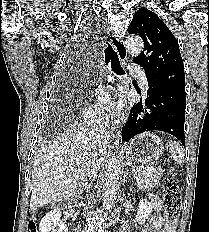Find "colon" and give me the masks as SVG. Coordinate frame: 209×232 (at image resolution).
<instances>
[{"mask_svg": "<svg viewBox=\"0 0 209 232\" xmlns=\"http://www.w3.org/2000/svg\"><path fill=\"white\" fill-rule=\"evenodd\" d=\"M164 218L175 221L181 209V193L176 181L170 176L163 185ZM26 232H38L36 222L31 220Z\"/></svg>", "mask_w": 209, "mask_h": 232, "instance_id": "1", "label": "colon"}]
</instances>
